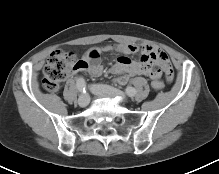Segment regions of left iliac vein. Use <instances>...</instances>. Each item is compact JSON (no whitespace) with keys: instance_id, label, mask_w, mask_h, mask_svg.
Instances as JSON below:
<instances>
[{"instance_id":"4c4485c4","label":"left iliac vein","mask_w":219,"mask_h":174,"mask_svg":"<svg viewBox=\"0 0 219 174\" xmlns=\"http://www.w3.org/2000/svg\"><path fill=\"white\" fill-rule=\"evenodd\" d=\"M90 91L96 95H104L109 97L118 96L123 102L127 101L125 94L117 89L105 85H91Z\"/></svg>"}]
</instances>
